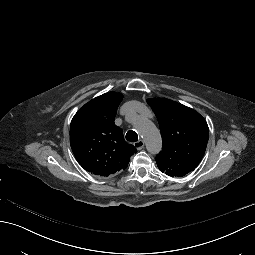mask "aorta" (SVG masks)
I'll return each instance as SVG.
<instances>
[{
    "label": "aorta",
    "instance_id": "obj_1",
    "mask_svg": "<svg viewBox=\"0 0 255 255\" xmlns=\"http://www.w3.org/2000/svg\"><path fill=\"white\" fill-rule=\"evenodd\" d=\"M134 126L142 135L147 150L156 154L161 150L162 141L158 128L148 119L137 117Z\"/></svg>",
    "mask_w": 255,
    "mask_h": 255
}]
</instances>
